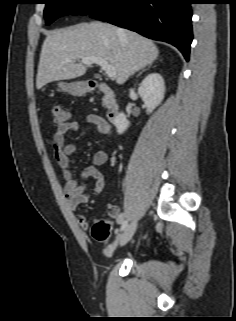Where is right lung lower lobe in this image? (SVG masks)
Masks as SVG:
<instances>
[{"mask_svg": "<svg viewBox=\"0 0 236 321\" xmlns=\"http://www.w3.org/2000/svg\"><path fill=\"white\" fill-rule=\"evenodd\" d=\"M192 3V0H111L90 17L168 42L188 61L193 39Z\"/></svg>", "mask_w": 236, "mask_h": 321, "instance_id": "right-lung-lower-lobe-1", "label": "right lung lower lobe"}]
</instances>
